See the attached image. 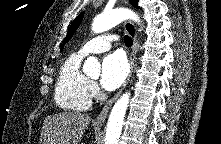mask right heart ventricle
Segmentation results:
<instances>
[{"label":"right heart ventricle","instance_id":"e07e8e85","mask_svg":"<svg viewBox=\"0 0 221 144\" xmlns=\"http://www.w3.org/2000/svg\"><path fill=\"white\" fill-rule=\"evenodd\" d=\"M82 58L80 54H72L60 68L54 99L63 110L84 111L90 106L91 97L88 93L90 80L81 71Z\"/></svg>","mask_w":221,"mask_h":144}]
</instances>
